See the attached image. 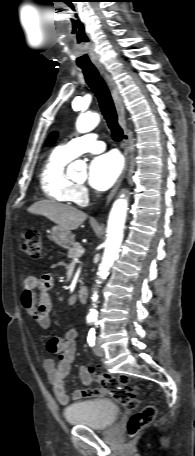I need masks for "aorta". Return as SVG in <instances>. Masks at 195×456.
<instances>
[{"instance_id": "obj_1", "label": "aorta", "mask_w": 195, "mask_h": 456, "mask_svg": "<svg viewBox=\"0 0 195 456\" xmlns=\"http://www.w3.org/2000/svg\"><path fill=\"white\" fill-rule=\"evenodd\" d=\"M100 117L97 113L82 114L78 117L76 122V128L80 133H86L93 130L99 123ZM71 171H83L86 169V164L83 161L77 160L70 165ZM128 202L127 199L122 195L117 199L110 211L108 226H107V239L105 242V250L102 258V262L98 270L97 283L107 277L109 269L113 265L114 261L118 258L119 249L123 240V231L126 220ZM98 299L97 293L92 296V301L96 302ZM89 318L97 317L96 306L90 309Z\"/></svg>"}]
</instances>
